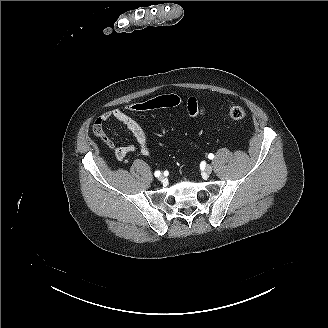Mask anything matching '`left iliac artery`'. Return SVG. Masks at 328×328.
<instances>
[{
  "instance_id": "1",
  "label": "left iliac artery",
  "mask_w": 328,
  "mask_h": 328,
  "mask_svg": "<svg viewBox=\"0 0 328 328\" xmlns=\"http://www.w3.org/2000/svg\"><path fill=\"white\" fill-rule=\"evenodd\" d=\"M208 158H209V159H213V158H214V154L210 153V154L208 155Z\"/></svg>"
}]
</instances>
